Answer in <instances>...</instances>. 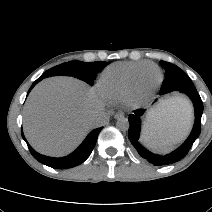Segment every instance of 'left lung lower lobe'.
Instances as JSON below:
<instances>
[{"label":"left lung lower lobe","mask_w":212,"mask_h":212,"mask_svg":"<svg viewBox=\"0 0 212 212\" xmlns=\"http://www.w3.org/2000/svg\"><path fill=\"white\" fill-rule=\"evenodd\" d=\"M179 92L186 94L193 102L195 110V123L191 134L187 140L175 151L167 155H157L149 152L139 143L140 127H141V117L145 110L138 109L135 110L133 114H130L128 120L130 123L128 138L130 139L132 145L135 147L139 155L148 160L149 163L155 166H163L180 161L188 153L192 147L194 141L198 138L201 132V117L203 113L202 100L197 92V90H179ZM163 95V94H160Z\"/></svg>","instance_id":"1"}]
</instances>
